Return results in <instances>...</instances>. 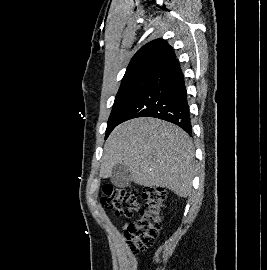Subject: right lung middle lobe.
Returning a JSON list of instances; mask_svg holds the SVG:
<instances>
[{
	"label": "right lung middle lobe",
	"instance_id": "obj_1",
	"mask_svg": "<svg viewBox=\"0 0 267 270\" xmlns=\"http://www.w3.org/2000/svg\"><path fill=\"white\" fill-rule=\"evenodd\" d=\"M154 77L153 74H147L121 83L107 123L105 138L117 125L124 121L128 111L146 91Z\"/></svg>",
	"mask_w": 267,
	"mask_h": 270
}]
</instances>
